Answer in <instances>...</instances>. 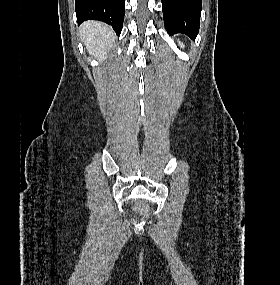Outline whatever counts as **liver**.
<instances>
[{"mask_svg":"<svg viewBox=\"0 0 280 285\" xmlns=\"http://www.w3.org/2000/svg\"><path fill=\"white\" fill-rule=\"evenodd\" d=\"M80 36L91 55L102 61L115 42L114 31L98 21H87L80 27Z\"/></svg>","mask_w":280,"mask_h":285,"instance_id":"1","label":"liver"}]
</instances>
